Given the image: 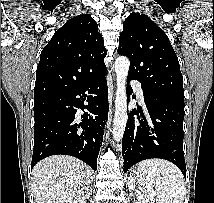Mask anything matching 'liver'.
<instances>
[{"instance_id":"liver-1","label":"liver","mask_w":214,"mask_h":203,"mask_svg":"<svg viewBox=\"0 0 214 203\" xmlns=\"http://www.w3.org/2000/svg\"><path fill=\"white\" fill-rule=\"evenodd\" d=\"M35 203H86L92 193L89 167L77 158L54 155L32 170Z\"/></svg>"}]
</instances>
